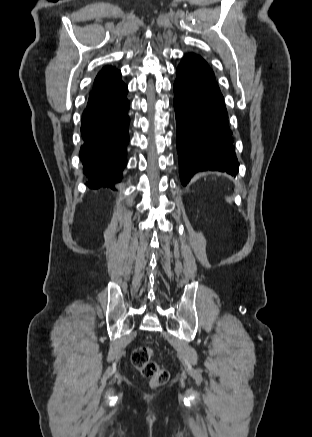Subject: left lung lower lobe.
<instances>
[{"mask_svg":"<svg viewBox=\"0 0 312 437\" xmlns=\"http://www.w3.org/2000/svg\"><path fill=\"white\" fill-rule=\"evenodd\" d=\"M174 108L183 185L199 171L238 173L224 98L204 59L189 54L176 70Z\"/></svg>","mask_w":312,"mask_h":437,"instance_id":"0a47b994","label":"left lung lower lobe"}]
</instances>
